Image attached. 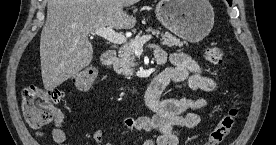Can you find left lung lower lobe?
<instances>
[{"label":"left lung lower lobe","instance_id":"1","mask_svg":"<svg viewBox=\"0 0 276 145\" xmlns=\"http://www.w3.org/2000/svg\"><path fill=\"white\" fill-rule=\"evenodd\" d=\"M228 1V3L231 5L232 4V0H227Z\"/></svg>","mask_w":276,"mask_h":145}]
</instances>
